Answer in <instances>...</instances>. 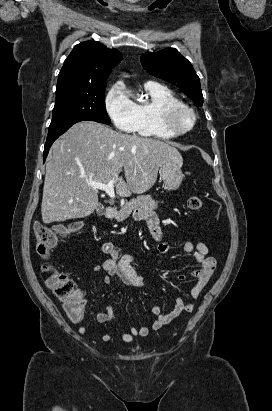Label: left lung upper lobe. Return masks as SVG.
<instances>
[{
	"mask_svg": "<svg viewBox=\"0 0 272 411\" xmlns=\"http://www.w3.org/2000/svg\"><path fill=\"white\" fill-rule=\"evenodd\" d=\"M140 60L150 74L179 87L185 95L192 98L195 105L203 104L200 79L191 63L175 48L145 53Z\"/></svg>",
	"mask_w": 272,
	"mask_h": 411,
	"instance_id": "left-lung-upper-lobe-1",
	"label": "left lung upper lobe"
}]
</instances>
